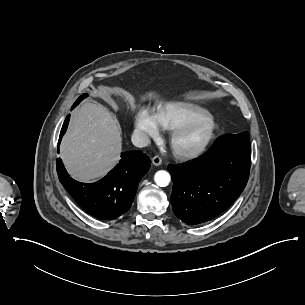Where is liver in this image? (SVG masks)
<instances>
[{"label": "liver", "instance_id": "obj_1", "mask_svg": "<svg viewBox=\"0 0 305 305\" xmlns=\"http://www.w3.org/2000/svg\"><path fill=\"white\" fill-rule=\"evenodd\" d=\"M126 97L135 105L134 96L127 94ZM121 143V129L110 112L101 104L87 102L72 115L61 144V158L74 178L90 181L115 165Z\"/></svg>", "mask_w": 305, "mask_h": 305}]
</instances>
